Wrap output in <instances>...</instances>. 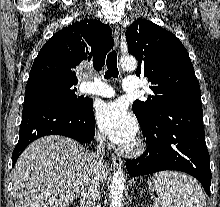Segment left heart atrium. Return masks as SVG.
<instances>
[{
	"instance_id": "1",
	"label": "left heart atrium",
	"mask_w": 220,
	"mask_h": 207,
	"mask_svg": "<svg viewBox=\"0 0 220 207\" xmlns=\"http://www.w3.org/2000/svg\"><path fill=\"white\" fill-rule=\"evenodd\" d=\"M100 130L114 143L127 147L134 141L137 122L121 101L102 103L96 110Z\"/></svg>"
}]
</instances>
